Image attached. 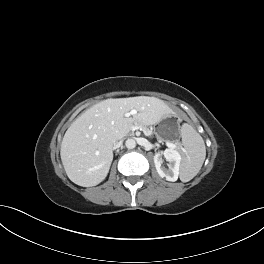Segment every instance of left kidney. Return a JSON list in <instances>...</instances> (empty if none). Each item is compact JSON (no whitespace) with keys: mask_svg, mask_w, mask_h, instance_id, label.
<instances>
[{"mask_svg":"<svg viewBox=\"0 0 264 264\" xmlns=\"http://www.w3.org/2000/svg\"><path fill=\"white\" fill-rule=\"evenodd\" d=\"M161 154L169 162L168 169L162 167ZM181 155L177 150L168 148L162 152H158L154 156V164L160 177L166 178L167 181L175 182L178 179L180 171Z\"/></svg>","mask_w":264,"mask_h":264,"instance_id":"left-kidney-1","label":"left kidney"}]
</instances>
